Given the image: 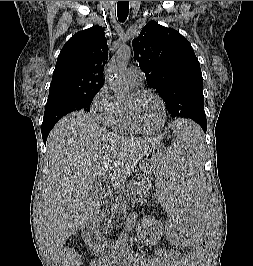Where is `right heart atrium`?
I'll return each instance as SVG.
<instances>
[{
	"label": "right heart atrium",
	"instance_id": "1",
	"mask_svg": "<svg viewBox=\"0 0 253 266\" xmlns=\"http://www.w3.org/2000/svg\"><path fill=\"white\" fill-rule=\"evenodd\" d=\"M90 109L101 123L109 125L116 109V100L107 85L101 86L96 92L92 98Z\"/></svg>",
	"mask_w": 253,
	"mask_h": 266
}]
</instances>
